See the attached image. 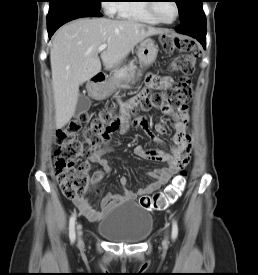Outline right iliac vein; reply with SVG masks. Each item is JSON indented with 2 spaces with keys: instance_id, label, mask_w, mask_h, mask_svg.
I'll return each mask as SVG.
<instances>
[{
  "instance_id": "63e3f726",
  "label": "right iliac vein",
  "mask_w": 258,
  "mask_h": 275,
  "mask_svg": "<svg viewBox=\"0 0 258 275\" xmlns=\"http://www.w3.org/2000/svg\"><path fill=\"white\" fill-rule=\"evenodd\" d=\"M77 234H78V242L82 243V226L80 224L77 225Z\"/></svg>"
}]
</instances>
